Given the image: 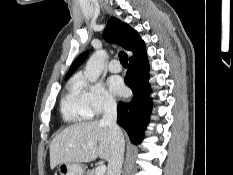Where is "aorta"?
I'll list each match as a JSON object with an SVG mask.
<instances>
[{"instance_id": "762f6f07", "label": "aorta", "mask_w": 233, "mask_h": 175, "mask_svg": "<svg viewBox=\"0 0 233 175\" xmlns=\"http://www.w3.org/2000/svg\"><path fill=\"white\" fill-rule=\"evenodd\" d=\"M106 57L107 52L105 50H99L94 52L89 58L84 70V76L91 83L96 82L101 75Z\"/></svg>"}]
</instances>
